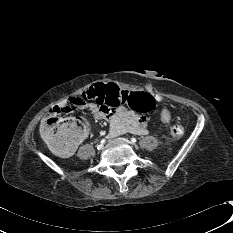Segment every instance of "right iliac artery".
Here are the masks:
<instances>
[{"label":"right iliac artery","mask_w":233,"mask_h":233,"mask_svg":"<svg viewBox=\"0 0 233 233\" xmlns=\"http://www.w3.org/2000/svg\"><path fill=\"white\" fill-rule=\"evenodd\" d=\"M105 141H106L105 139H102V140H101V143L103 144V143H105Z\"/></svg>","instance_id":"right-iliac-artery-1"}]
</instances>
